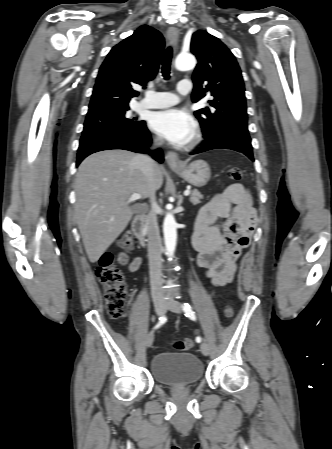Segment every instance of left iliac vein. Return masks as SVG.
<instances>
[{
	"label": "left iliac vein",
	"instance_id": "4c4485c4",
	"mask_svg": "<svg viewBox=\"0 0 332 449\" xmlns=\"http://www.w3.org/2000/svg\"><path fill=\"white\" fill-rule=\"evenodd\" d=\"M167 309L174 313H181L182 312V306L181 304L173 299H168L165 303ZM200 350L203 355L207 356L210 352V348L206 342L201 343Z\"/></svg>",
	"mask_w": 332,
	"mask_h": 449
}]
</instances>
